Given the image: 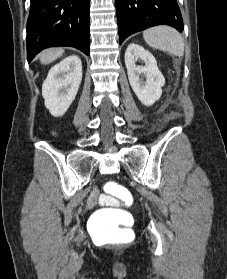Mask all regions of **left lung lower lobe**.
Wrapping results in <instances>:
<instances>
[{
    "mask_svg": "<svg viewBox=\"0 0 227 279\" xmlns=\"http://www.w3.org/2000/svg\"><path fill=\"white\" fill-rule=\"evenodd\" d=\"M120 44L131 34L156 25L183 30L176 0H115Z\"/></svg>",
    "mask_w": 227,
    "mask_h": 279,
    "instance_id": "0a47b994",
    "label": "left lung lower lobe"
}]
</instances>
